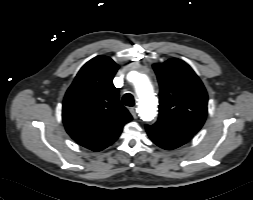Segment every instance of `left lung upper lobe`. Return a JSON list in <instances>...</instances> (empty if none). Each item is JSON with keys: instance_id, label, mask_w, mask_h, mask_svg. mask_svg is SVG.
<instances>
[{"instance_id": "1", "label": "left lung upper lobe", "mask_w": 253, "mask_h": 200, "mask_svg": "<svg viewBox=\"0 0 253 200\" xmlns=\"http://www.w3.org/2000/svg\"><path fill=\"white\" fill-rule=\"evenodd\" d=\"M153 68L160 85L159 116L154 125L194 135L207 115L208 96L201 80L177 58Z\"/></svg>"}]
</instances>
